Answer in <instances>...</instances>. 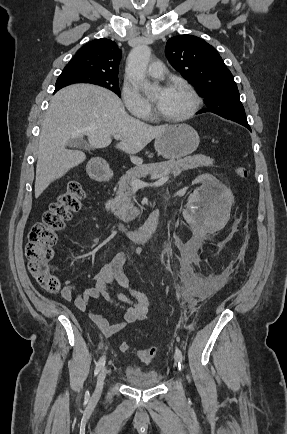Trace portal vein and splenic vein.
<instances>
[{"mask_svg": "<svg viewBox=\"0 0 287 434\" xmlns=\"http://www.w3.org/2000/svg\"><path fill=\"white\" fill-rule=\"evenodd\" d=\"M114 138L116 140H119V139H121V136L118 134H115ZM168 180H169V173L165 172L160 176V178L157 181H155L153 183H146L144 181H141L140 179H133L132 187L139 189V188L148 187V186H151V187L152 186H161L164 183H166Z\"/></svg>", "mask_w": 287, "mask_h": 434, "instance_id": "portal-vein-and-splenic-vein-1", "label": "portal vein and splenic vein"}]
</instances>
